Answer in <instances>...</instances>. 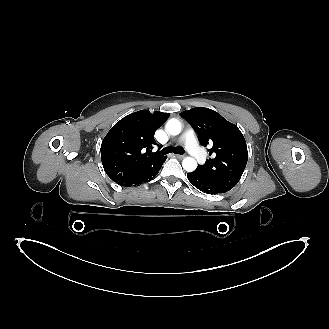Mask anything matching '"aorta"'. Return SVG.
Instances as JSON below:
<instances>
[{"instance_id": "obj_1", "label": "aorta", "mask_w": 329, "mask_h": 329, "mask_svg": "<svg viewBox=\"0 0 329 329\" xmlns=\"http://www.w3.org/2000/svg\"><path fill=\"white\" fill-rule=\"evenodd\" d=\"M166 130L171 135H178L181 132V123L177 119H170L166 123ZM182 166L187 172H192L197 168V162L192 157H186L182 161Z\"/></svg>"}]
</instances>
